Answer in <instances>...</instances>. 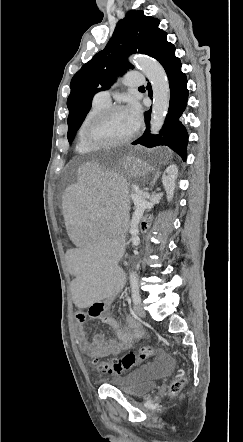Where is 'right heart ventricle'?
<instances>
[{"label":"right heart ventricle","mask_w":243,"mask_h":442,"mask_svg":"<svg viewBox=\"0 0 243 442\" xmlns=\"http://www.w3.org/2000/svg\"><path fill=\"white\" fill-rule=\"evenodd\" d=\"M107 106H109V104H105L102 102H99L95 99H93L88 111L86 112L78 130H77V135H76V144H75V150L77 153L79 154H88L93 152L95 149L92 148L91 146H89L84 138H83V129L84 126L86 124V122L88 121V119L90 117H92L94 114H96L97 112L101 111L102 109L106 108Z\"/></svg>","instance_id":"1"}]
</instances>
